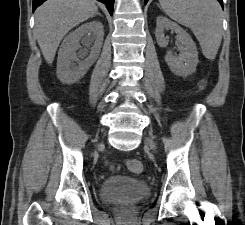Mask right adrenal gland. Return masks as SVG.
Wrapping results in <instances>:
<instances>
[{
	"label": "right adrenal gland",
	"instance_id": "1",
	"mask_svg": "<svg viewBox=\"0 0 245 225\" xmlns=\"http://www.w3.org/2000/svg\"><path fill=\"white\" fill-rule=\"evenodd\" d=\"M97 15H99V16H101V17H102V15H101L100 13H97Z\"/></svg>",
	"mask_w": 245,
	"mask_h": 225
}]
</instances>
